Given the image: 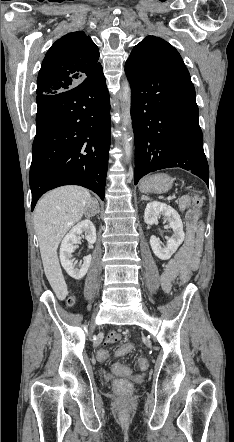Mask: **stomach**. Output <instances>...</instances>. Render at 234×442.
Segmentation results:
<instances>
[{"instance_id":"stomach-1","label":"stomach","mask_w":234,"mask_h":442,"mask_svg":"<svg viewBox=\"0 0 234 442\" xmlns=\"http://www.w3.org/2000/svg\"><path fill=\"white\" fill-rule=\"evenodd\" d=\"M173 179L164 173L151 175L140 183V191L144 193H165L171 189Z\"/></svg>"}]
</instances>
